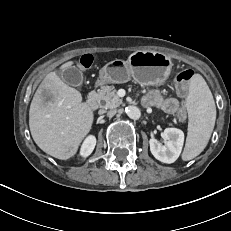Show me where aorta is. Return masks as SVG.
Listing matches in <instances>:
<instances>
[{"instance_id": "obj_1", "label": "aorta", "mask_w": 231, "mask_h": 231, "mask_svg": "<svg viewBox=\"0 0 231 231\" xmlns=\"http://www.w3.org/2000/svg\"><path fill=\"white\" fill-rule=\"evenodd\" d=\"M125 111L127 115L133 120H138L141 117V111L136 106H128L126 107Z\"/></svg>"}]
</instances>
